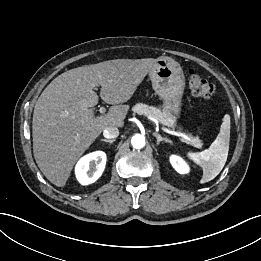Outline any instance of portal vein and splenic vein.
Listing matches in <instances>:
<instances>
[{"label":"portal vein and splenic vein","mask_w":261,"mask_h":261,"mask_svg":"<svg viewBox=\"0 0 261 261\" xmlns=\"http://www.w3.org/2000/svg\"><path fill=\"white\" fill-rule=\"evenodd\" d=\"M105 111H106V109H105L104 107H100V108H99V112H100L101 114H104ZM162 129H163L166 133H168V134L175 135V136L180 137L182 140H186V141L192 142V140H191L187 135H185V134H183V133L176 132V131H173V130H169V129H167V128H162Z\"/></svg>","instance_id":"portal-vein-and-splenic-vein-1"}]
</instances>
